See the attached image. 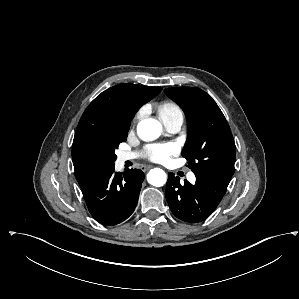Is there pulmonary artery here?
I'll use <instances>...</instances> for the list:
<instances>
[{
  "instance_id": "e3ab8cb5",
  "label": "pulmonary artery",
  "mask_w": 299,
  "mask_h": 299,
  "mask_svg": "<svg viewBox=\"0 0 299 299\" xmlns=\"http://www.w3.org/2000/svg\"><path fill=\"white\" fill-rule=\"evenodd\" d=\"M163 123L169 132L174 133V132H177L181 128V125L183 123V117L176 116V117H173V118L163 121ZM138 156H139V154L137 152H122L119 154V161L121 163H123L127 160L136 159ZM187 179L189 182L193 183L196 181V176L193 172H189L187 174Z\"/></svg>"
}]
</instances>
